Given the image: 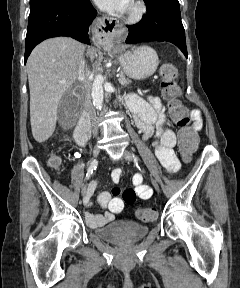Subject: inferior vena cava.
<instances>
[{"label":"inferior vena cava","instance_id":"1","mask_svg":"<svg viewBox=\"0 0 240 288\" xmlns=\"http://www.w3.org/2000/svg\"><path fill=\"white\" fill-rule=\"evenodd\" d=\"M78 80L85 89V97H84L85 115L83 116L81 122L91 125V119H95L96 113H95V108H94L91 94H90V88H91L90 72L88 71L84 60H82L80 68H79ZM92 132L95 136L97 135L98 130L96 126H94Z\"/></svg>","mask_w":240,"mask_h":288}]
</instances>
